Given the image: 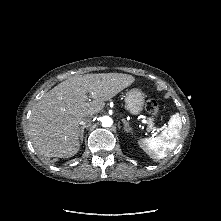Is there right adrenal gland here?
<instances>
[{
  "mask_svg": "<svg viewBox=\"0 0 221 221\" xmlns=\"http://www.w3.org/2000/svg\"><path fill=\"white\" fill-rule=\"evenodd\" d=\"M86 128V125H84V126H82V127H80V129H79V133H80V140H81V142H83V137H84V129Z\"/></svg>",
  "mask_w": 221,
  "mask_h": 221,
  "instance_id": "right-adrenal-gland-1",
  "label": "right adrenal gland"
}]
</instances>
